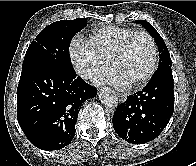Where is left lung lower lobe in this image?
<instances>
[{
    "label": "left lung lower lobe",
    "mask_w": 196,
    "mask_h": 166,
    "mask_svg": "<svg viewBox=\"0 0 196 166\" xmlns=\"http://www.w3.org/2000/svg\"><path fill=\"white\" fill-rule=\"evenodd\" d=\"M173 112V75L171 66H166L157 69L146 87L118 105L113 127L123 140L142 144L159 136Z\"/></svg>",
    "instance_id": "0a47b994"
}]
</instances>
